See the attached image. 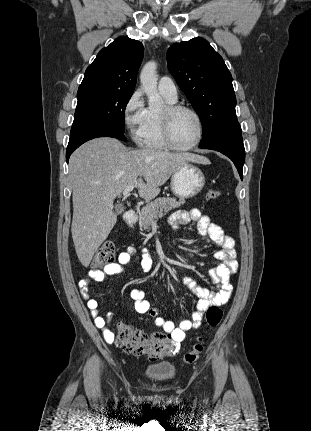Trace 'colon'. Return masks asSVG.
<instances>
[{
	"label": "colon",
	"instance_id": "1",
	"mask_svg": "<svg viewBox=\"0 0 311 431\" xmlns=\"http://www.w3.org/2000/svg\"><path fill=\"white\" fill-rule=\"evenodd\" d=\"M220 192L210 189L206 193L209 201L218 199ZM115 258V246L110 240L101 244L95 254L93 265L103 267L111 264ZM223 318V312L218 306H211L206 311V330L217 327ZM116 343L128 354L136 356H146L151 360H156L166 356L174 355L178 350V345L166 336L156 334L148 336L142 331L133 328L126 322H118L116 326ZM203 351V338L197 337L192 349L185 353L183 361L186 364L195 363Z\"/></svg>",
	"mask_w": 311,
	"mask_h": 431
}]
</instances>
